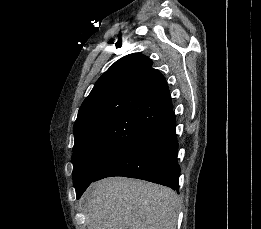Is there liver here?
Masks as SVG:
<instances>
[{"instance_id":"obj_1","label":"liver","mask_w":261,"mask_h":229,"mask_svg":"<svg viewBox=\"0 0 261 229\" xmlns=\"http://www.w3.org/2000/svg\"><path fill=\"white\" fill-rule=\"evenodd\" d=\"M88 229H176L178 195L154 183L111 177L84 197Z\"/></svg>"}]
</instances>
